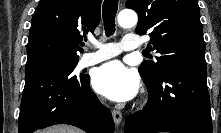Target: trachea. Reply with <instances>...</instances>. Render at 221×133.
Returning <instances> with one entry per match:
<instances>
[{
	"label": "trachea",
	"instance_id": "trachea-1",
	"mask_svg": "<svg viewBox=\"0 0 221 133\" xmlns=\"http://www.w3.org/2000/svg\"><path fill=\"white\" fill-rule=\"evenodd\" d=\"M118 9V0H105L103 3L102 16L106 36H111L115 32V16ZM147 56V54H143Z\"/></svg>",
	"mask_w": 221,
	"mask_h": 133
}]
</instances>
